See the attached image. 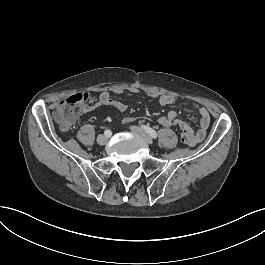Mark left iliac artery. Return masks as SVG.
<instances>
[{
	"instance_id": "obj_1",
	"label": "left iliac artery",
	"mask_w": 265,
	"mask_h": 265,
	"mask_svg": "<svg viewBox=\"0 0 265 265\" xmlns=\"http://www.w3.org/2000/svg\"><path fill=\"white\" fill-rule=\"evenodd\" d=\"M142 128L146 131V133H148L152 138L156 139L157 138V133L155 130H153L152 128L148 127V126H144L142 125Z\"/></svg>"
}]
</instances>
